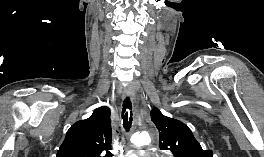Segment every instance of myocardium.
<instances>
[{"label":"myocardium","mask_w":264,"mask_h":157,"mask_svg":"<svg viewBox=\"0 0 264 157\" xmlns=\"http://www.w3.org/2000/svg\"><path fill=\"white\" fill-rule=\"evenodd\" d=\"M160 157H169V156H160Z\"/></svg>","instance_id":"myocardium-1"}]
</instances>
